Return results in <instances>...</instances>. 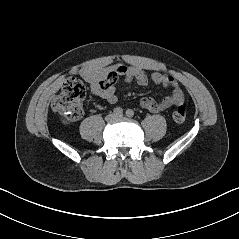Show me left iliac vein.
I'll return each mask as SVG.
<instances>
[{
  "label": "left iliac vein",
  "instance_id": "obj_1",
  "mask_svg": "<svg viewBox=\"0 0 239 239\" xmlns=\"http://www.w3.org/2000/svg\"><path fill=\"white\" fill-rule=\"evenodd\" d=\"M123 115H116V118H122Z\"/></svg>",
  "mask_w": 239,
  "mask_h": 239
}]
</instances>
